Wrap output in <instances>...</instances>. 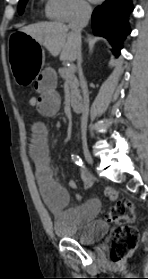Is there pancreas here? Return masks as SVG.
Returning <instances> with one entry per match:
<instances>
[{
	"mask_svg": "<svg viewBox=\"0 0 148 279\" xmlns=\"http://www.w3.org/2000/svg\"><path fill=\"white\" fill-rule=\"evenodd\" d=\"M74 72H69V69L66 67L59 69L60 77L69 84L72 103L77 102L80 98L79 82Z\"/></svg>",
	"mask_w": 148,
	"mask_h": 279,
	"instance_id": "obj_1",
	"label": "pancreas"
}]
</instances>
